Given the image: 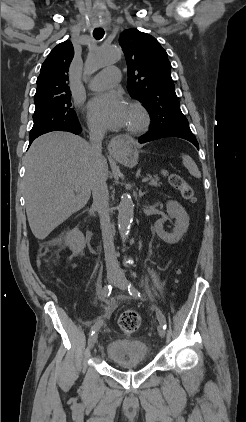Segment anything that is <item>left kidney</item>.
I'll return each mask as SVG.
<instances>
[{
    "instance_id": "1",
    "label": "left kidney",
    "mask_w": 246,
    "mask_h": 422,
    "mask_svg": "<svg viewBox=\"0 0 246 422\" xmlns=\"http://www.w3.org/2000/svg\"><path fill=\"white\" fill-rule=\"evenodd\" d=\"M167 213L170 218H175V227L172 233L164 230L165 218L158 219L155 222V231L157 235L166 243H177L187 232L189 227V216L185 209L177 201H168L166 204Z\"/></svg>"
}]
</instances>
